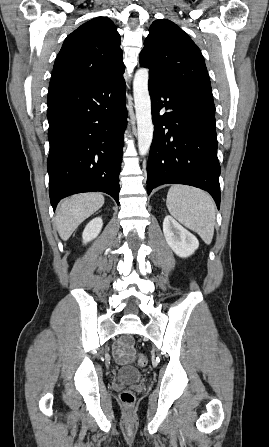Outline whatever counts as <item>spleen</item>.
Returning <instances> with one entry per match:
<instances>
[{
  "instance_id": "3e777b00",
  "label": "spleen",
  "mask_w": 269,
  "mask_h": 447,
  "mask_svg": "<svg viewBox=\"0 0 269 447\" xmlns=\"http://www.w3.org/2000/svg\"><path fill=\"white\" fill-rule=\"evenodd\" d=\"M166 206L173 218L197 231L205 243H211L215 225V204L203 190L191 186H171Z\"/></svg>"
}]
</instances>
